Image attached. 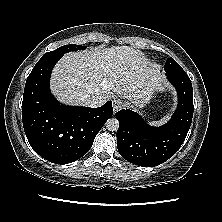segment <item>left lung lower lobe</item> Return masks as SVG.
Masks as SVG:
<instances>
[{"label":"left lung lower lobe","instance_id":"obj_1","mask_svg":"<svg viewBox=\"0 0 222 222\" xmlns=\"http://www.w3.org/2000/svg\"><path fill=\"white\" fill-rule=\"evenodd\" d=\"M175 86L178 106L169 122L160 127L148 125L136 112L122 109L116 113L120 126L117 147L127 161L144 167L160 165L171 158L184 142L193 117V89L185 72H166Z\"/></svg>","mask_w":222,"mask_h":222}]
</instances>
